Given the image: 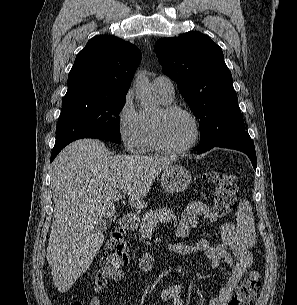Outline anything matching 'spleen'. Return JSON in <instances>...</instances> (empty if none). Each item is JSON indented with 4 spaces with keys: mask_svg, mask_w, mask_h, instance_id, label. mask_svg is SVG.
<instances>
[{
    "mask_svg": "<svg viewBox=\"0 0 297 305\" xmlns=\"http://www.w3.org/2000/svg\"><path fill=\"white\" fill-rule=\"evenodd\" d=\"M237 229L242 238L255 239V222L252 207L248 201H243L236 214Z\"/></svg>",
    "mask_w": 297,
    "mask_h": 305,
    "instance_id": "obj_1",
    "label": "spleen"
}]
</instances>
